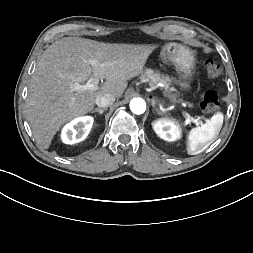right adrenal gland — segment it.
Here are the masks:
<instances>
[{
  "mask_svg": "<svg viewBox=\"0 0 253 253\" xmlns=\"http://www.w3.org/2000/svg\"><path fill=\"white\" fill-rule=\"evenodd\" d=\"M108 108H95L92 110V113L98 112L100 115L103 114L104 111H106Z\"/></svg>",
  "mask_w": 253,
  "mask_h": 253,
  "instance_id": "obj_1",
  "label": "right adrenal gland"
}]
</instances>
